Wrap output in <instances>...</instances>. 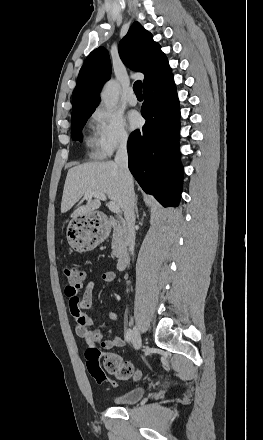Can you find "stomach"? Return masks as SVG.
Masks as SVG:
<instances>
[{"mask_svg":"<svg viewBox=\"0 0 263 440\" xmlns=\"http://www.w3.org/2000/svg\"><path fill=\"white\" fill-rule=\"evenodd\" d=\"M66 235L69 244L79 252L94 249L106 237L94 213L73 218L68 224Z\"/></svg>","mask_w":263,"mask_h":440,"instance_id":"1","label":"stomach"}]
</instances>
